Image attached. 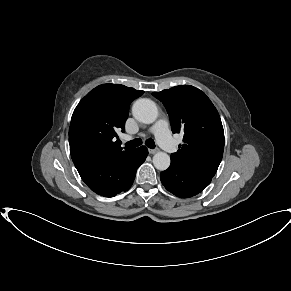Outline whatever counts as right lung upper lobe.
Here are the masks:
<instances>
[{
    "label": "right lung upper lobe",
    "instance_id": "1",
    "mask_svg": "<svg viewBox=\"0 0 291 291\" xmlns=\"http://www.w3.org/2000/svg\"><path fill=\"white\" fill-rule=\"evenodd\" d=\"M144 93L119 84H102L77 105L69 128L71 157L110 161L127 153L117 131L124 132L130 103Z\"/></svg>",
    "mask_w": 291,
    "mask_h": 291
}]
</instances>
